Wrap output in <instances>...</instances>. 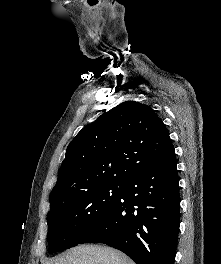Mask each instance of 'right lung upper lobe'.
I'll return each instance as SVG.
<instances>
[{"instance_id":"1","label":"right lung upper lobe","mask_w":221,"mask_h":264,"mask_svg":"<svg viewBox=\"0 0 221 264\" xmlns=\"http://www.w3.org/2000/svg\"><path fill=\"white\" fill-rule=\"evenodd\" d=\"M174 155L169 133L154 110L138 102H123L71 141L50 193V210L72 194L124 182Z\"/></svg>"}]
</instances>
